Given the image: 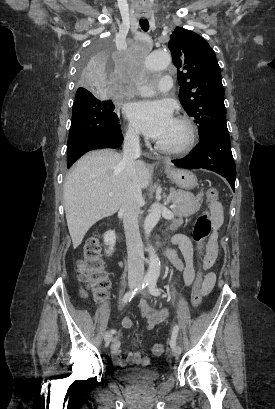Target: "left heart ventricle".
Returning a JSON list of instances; mask_svg holds the SVG:
<instances>
[{
	"instance_id": "b2bd125f",
	"label": "left heart ventricle",
	"mask_w": 275,
	"mask_h": 409,
	"mask_svg": "<svg viewBox=\"0 0 275 409\" xmlns=\"http://www.w3.org/2000/svg\"><path fill=\"white\" fill-rule=\"evenodd\" d=\"M183 136L184 129L173 121L169 127L154 140L162 144L174 145L177 144L183 138Z\"/></svg>"
}]
</instances>
